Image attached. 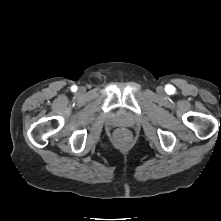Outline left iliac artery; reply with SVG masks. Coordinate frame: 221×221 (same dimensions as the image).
<instances>
[{
  "instance_id": "left-iliac-artery-1",
  "label": "left iliac artery",
  "mask_w": 221,
  "mask_h": 221,
  "mask_svg": "<svg viewBox=\"0 0 221 221\" xmlns=\"http://www.w3.org/2000/svg\"><path fill=\"white\" fill-rule=\"evenodd\" d=\"M172 89H173V87H172L171 85H168V86H167V91H168L169 93H173V92H172Z\"/></svg>"
}]
</instances>
